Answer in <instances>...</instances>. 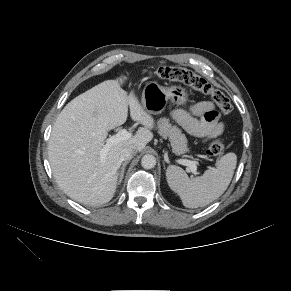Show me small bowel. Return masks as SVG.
Instances as JSON below:
<instances>
[{"label":"small bowel","mask_w":291,"mask_h":291,"mask_svg":"<svg viewBox=\"0 0 291 291\" xmlns=\"http://www.w3.org/2000/svg\"><path fill=\"white\" fill-rule=\"evenodd\" d=\"M174 118L192 134L204 139L217 137L224 130V124L219 120L218 113L207 101L193 105L190 113L183 110L174 111Z\"/></svg>","instance_id":"1"}]
</instances>
